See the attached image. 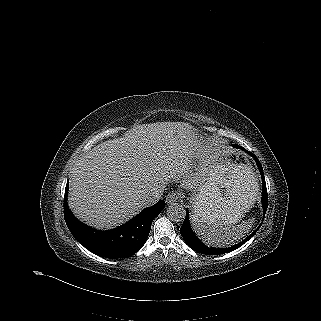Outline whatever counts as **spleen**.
Instances as JSON below:
<instances>
[{"label": "spleen", "instance_id": "spleen-1", "mask_svg": "<svg viewBox=\"0 0 321 321\" xmlns=\"http://www.w3.org/2000/svg\"><path fill=\"white\" fill-rule=\"evenodd\" d=\"M193 228L202 241L213 247L233 245L244 238L252 228L253 219L230 226L218 220L216 215H209L205 220L193 217Z\"/></svg>", "mask_w": 321, "mask_h": 321}]
</instances>
